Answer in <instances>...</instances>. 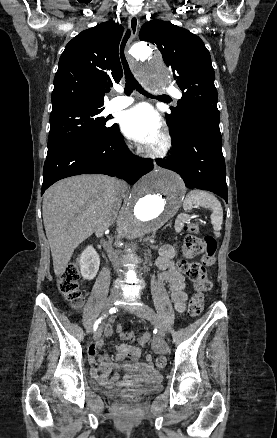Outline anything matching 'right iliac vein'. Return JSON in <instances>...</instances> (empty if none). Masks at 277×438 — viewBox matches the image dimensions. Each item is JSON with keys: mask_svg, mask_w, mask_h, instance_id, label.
Listing matches in <instances>:
<instances>
[{"mask_svg": "<svg viewBox=\"0 0 277 438\" xmlns=\"http://www.w3.org/2000/svg\"><path fill=\"white\" fill-rule=\"evenodd\" d=\"M117 300V296H114V295H112V296H110L109 298H108V300H107V302H106V304H105V306H104V308H103V313H102V315H107L108 314V312L112 309V307L114 306V303H115V301ZM101 335H102V325H100L99 327H98V329L96 330V332L94 333V340H99L100 339V337H101Z\"/></svg>", "mask_w": 277, "mask_h": 438, "instance_id": "63e3f726", "label": "right iliac vein"}]
</instances>
